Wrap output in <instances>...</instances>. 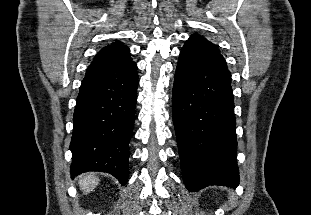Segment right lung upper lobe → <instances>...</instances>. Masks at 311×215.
I'll list each match as a JSON object with an SVG mask.
<instances>
[{"label":"right lung upper lobe","mask_w":311,"mask_h":215,"mask_svg":"<svg viewBox=\"0 0 311 215\" xmlns=\"http://www.w3.org/2000/svg\"><path fill=\"white\" fill-rule=\"evenodd\" d=\"M130 50L120 41L102 48L94 57L91 64L121 65L131 62Z\"/></svg>","instance_id":"obj_1"}]
</instances>
